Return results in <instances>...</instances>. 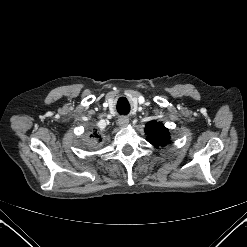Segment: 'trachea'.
I'll list each match as a JSON object with an SVG mask.
<instances>
[{"instance_id":"1","label":"trachea","mask_w":247,"mask_h":247,"mask_svg":"<svg viewBox=\"0 0 247 247\" xmlns=\"http://www.w3.org/2000/svg\"><path fill=\"white\" fill-rule=\"evenodd\" d=\"M117 110L120 114L126 115L129 113L130 107H122V108L117 107Z\"/></svg>"}]
</instances>
